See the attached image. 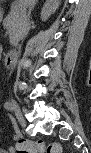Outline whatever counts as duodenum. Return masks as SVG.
Listing matches in <instances>:
<instances>
[{"label": "duodenum", "instance_id": "1", "mask_svg": "<svg viewBox=\"0 0 91 153\" xmlns=\"http://www.w3.org/2000/svg\"><path fill=\"white\" fill-rule=\"evenodd\" d=\"M18 55H19L18 50H16V49L9 50L5 54V57H4L5 63L6 64H12L17 59Z\"/></svg>", "mask_w": 91, "mask_h": 153}]
</instances>
